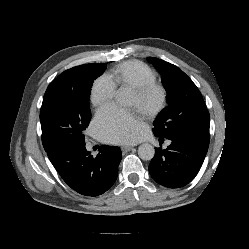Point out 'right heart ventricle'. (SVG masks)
Returning <instances> with one entry per match:
<instances>
[{
    "instance_id": "1",
    "label": "right heart ventricle",
    "mask_w": 249,
    "mask_h": 249,
    "mask_svg": "<svg viewBox=\"0 0 249 249\" xmlns=\"http://www.w3.org/2000/svg\"><path fill=\"white\" fill-rule=\"evenodd\" d=\"M116 85L135 88L141 84L156 81V75L146 64L131 60L116 66L108 75Z\"/></svg>"
}]
</instances>
